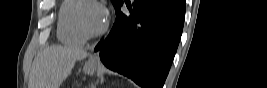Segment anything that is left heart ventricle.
Returning <instances> with one entry per match:
<instances>
[{
    "label": "left heart ventricle",
    "instance_id": "left-heart-ventricle-1",
    "mask_svg": "<svg viewBox=\"0 0 267 88\" xmlns=\"http://www.w3.org/2000/svg\"><path fill=\"white\" fill-rule=\"evenodd\" d=\"M82 17L85 26L92 31L100 29L105 22V17L101 15L98 6L89 2L82 6Z\"/></svg>",
    "mask_w": 267,
    "mask_h": 88
}]
</instances>
